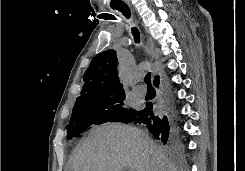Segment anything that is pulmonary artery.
Listing matches in <instances>:
<instances>
[{
    "mask_svg": "<svg viewBox=\"0 0 245 171\" xmlns=\"http://www.w3.org/2000/svg\"><path fill=\"white\" fill-rule=\"evenodd\" d=\"M133 92L137 96H144L146 94V88L144 86H136L133 89Z\"/></svg>",
    "mask_w": 245,
    "mask_h": 171,
    "instance_id": "obj_1",
    "label": "pulmonary artery"
}]
</instances>
